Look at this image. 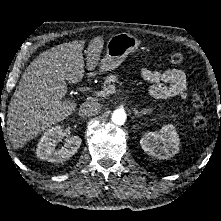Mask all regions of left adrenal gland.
<instances>
[{"label":"left adrenal gland","instance_id":"a2214340","mask_svg":"<svg viewBox=\"0 0 221 221\" xmlns=\"http://www.w3.org/2000/svg\"><path fill=\"white\" fill-rule=\"evenodd\" d=\"M133 112H134V114H135L137 117H141L142 115L151 113V112H152V109H144V110H141V111H138V110H136V109H133Z\"/></svg>","mask_w":221,"mask_h":221}]
</instances>
